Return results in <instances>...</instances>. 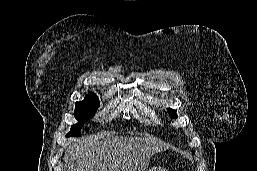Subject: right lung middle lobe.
Here are the masks:
<instances>
[{"label": "right lung middle lobe", "instance_id": "right-lung-middle-lobe-1", "mask_svg": "<svg viewBox=\"0 0 257 171\" xmlns=\"http://www.w3.org/2000/svg\"><path fill=\"white\" fill-rule=\"evenodd\" d=\"M99 107V100L93 93H88L83 101L76 102L74 117L79 121L71 126V130L66 134L69 136H79L80 129L88 117H90Z\"/></svg>", "mask_w": 257, "mask_h": 171}]
</instances>
